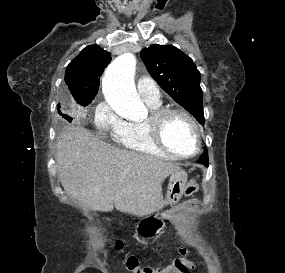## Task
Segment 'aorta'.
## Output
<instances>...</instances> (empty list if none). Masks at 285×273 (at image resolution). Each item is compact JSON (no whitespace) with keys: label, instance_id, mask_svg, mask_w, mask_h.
I'll return each mask as SVG.
<instances>
[{"label":"aorta","instance_id":"1","mask_svg":"<svg viewBox=\"0 0 285 273\" xmlns=\"http://www.w3.org/2000/svg\"><path fill=\"white\" fill-rule=\"evenodd\" d=\"M135 70L134 54L124 53L107 67L102 79V91L107 103L116 113L129 119L147 115V109L135 89Z\"/></svg>","mask_w":285,"mask_h":273}]
</instances>
